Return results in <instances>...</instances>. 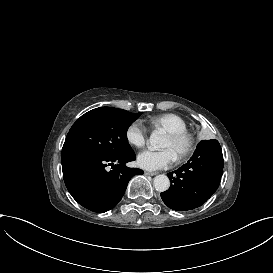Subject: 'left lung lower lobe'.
Returning <instances> with one entry per match:
<instances>
[{"label":"left lung lower lobe","mask_w":273,"mask_h":273,"mask_svg":"<svg viewBox=\"0 0 273 273\" xmlns=\"http://www.w3.org/2000/svg\"><path fill=\"white\" fill-rule=\"evenodd\" d=\"M224 160L217 140L201 141L190 160L168 173L170 188L161 193L163 202L176 211L202 206L219 187Z\"/></svg>","instance_id":"obj_1"}]
</instances>
